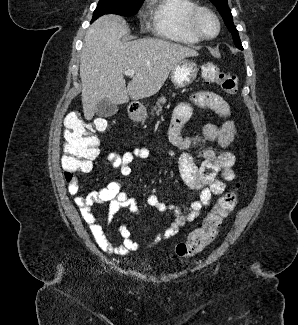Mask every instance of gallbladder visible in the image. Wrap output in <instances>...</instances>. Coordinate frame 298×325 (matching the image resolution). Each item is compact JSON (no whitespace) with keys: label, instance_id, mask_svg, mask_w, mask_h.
Wrapping results in <instances>:
<instances>
[{"label":"gallbladder","instance_id":"1","mask_svg":"<svg viewBox=\"0 0 298 325\" xmlns=\"http://www.w3.org/2000/svg\"><path fill=\"white\" fill-rule=\"evenodd\" d=\"M118 110V104H113V102H110V100H107V98H104V100H100L99 104H97L95 108L96 114H98V116H101V118L113 116V114H116Z\"/></svg>","mask_w":298,"mask_h":325}]
</instances>
